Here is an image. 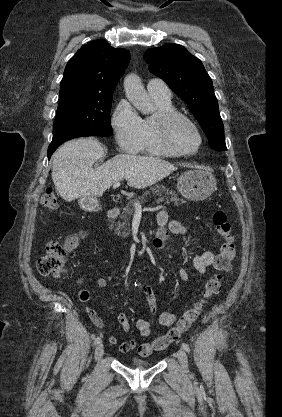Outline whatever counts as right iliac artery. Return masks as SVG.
Here are the masks:
<instances>
[{
  "label": "right iliac artery",
  "mask_w": 282,
  "mask_h": 417,
  "mask_svg": "<svg viewBox=\"0 0 282 417\" xmlns=\"http://www.w3.org/2000/svg\"><path fill=\"white\" fill-rule=\"evenodd\" d=\"M101 342V336H98L97 338H95L94 340V345H97Z\"/></svg>",
  "instance_id": "obj_1"
}]
</instances>
